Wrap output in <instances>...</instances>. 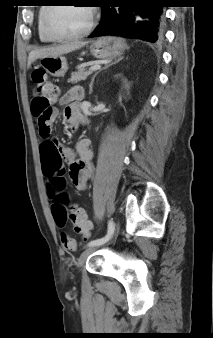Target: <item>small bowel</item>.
<instances>
[{"mask_svg": "<svg viewBox=\"0 0 213 338\" xmlns=\"http://www.w3.org/2000/svg\"><path fill=\"white\" fill-rule=\"evenodd\" d=\"M83 97L82 89L80 87H73L68 90L60 99L59 103L65 106L64 118L70 124L68 133H72L73 125L81 122L80 117L76 113L78 102ZM52 121V120H51ZM49 122V125L51 123ZM50 142L52 140L45 139L43 143ZM42 143V145H43ZM89 140L80 141L75 149L80 160L72 161L68 165L67 175L78 191H84L87 188L88 180L93 173V167L89 163L90 149ZM73 159L74 153L65 146H57L52 153L46 154L41 148V166L42 173L47 180V189L49 199L51 201L52 214L58 223L63 226L66 222V217L58 216L55 213V195L58 193L59 186L63 182L65 171L61 163V159Z\"/></svg>", "mask_w": 213, "mask_h": 338, "instance_id": "1", "label": "small bowel"}]
</instances>
